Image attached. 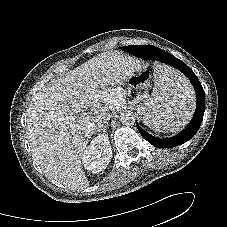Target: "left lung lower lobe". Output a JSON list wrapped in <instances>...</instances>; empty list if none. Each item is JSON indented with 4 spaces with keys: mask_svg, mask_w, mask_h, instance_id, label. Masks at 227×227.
I'll use <instances>...</instances> for the list:
<instances>
[{
    "mask_svg": "<svg viewBox=\"0 0 227 227\" xmlns=\"http://www.w3.org/2000/svg\"><path fill=\"white\" fill-rule=\"evenodd\" d=\"M127 52L142 59L158 60L177 68L189 78V80L191 81L196 90L197 95L196 112L191 122L181 133L171 138L160 139L148 134L140 126L137 125V129L142 135V137L146 139L148 142H150L153 146L159 148L175 147L190 140L198 131L202 123L205 111L204 90L194 72L181 60L154 46L150 45L132 46L127 50Z\"/></svg>",
    "mask_w": 227,
    "mask_h": 227,
    "instance_id": "0a47b994",
    "label": "left lung lower lobe"
}]
</instances>
